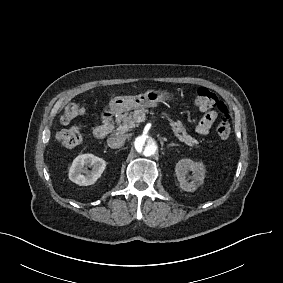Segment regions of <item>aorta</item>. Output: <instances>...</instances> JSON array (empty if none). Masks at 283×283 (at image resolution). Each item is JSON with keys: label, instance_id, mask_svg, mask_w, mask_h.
I'll return each mask as SVG.
<instances>
[{"label": "aorta", "instance_id": "762f6f07", "mask_svg": "<svg viewBox=\"0 0 283 283\" xmlns=\"http://www.w3.org/2000/svg\"><path fill=\"white\" fill-rule=\"evenodd\" d=\"M160 149L159 138L148 132L137 135L132 142V152L140 160L149 161L157 158Z\"/></svg>", "mask_w": 283, "mask_h": 283}]
</instances>
